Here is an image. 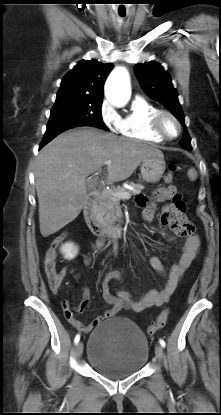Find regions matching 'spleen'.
<instances>
[{
  "label": "spleen",
  "instance_id": "spleen-1",
  "mask_svg": "<svg viewBox=\"0 0 221 415\" xmlns=\"http://www.w3.org/2000/svg\"><path fill=\"white\" fill-rule=\"evenodd\" d=\"M188 176H189L190 180H192V181L196 180L197 179V172H196V170L193 169V168H191L188 171Z\"/></svg>",
  "mask_w": 221,
  "mask_h": 415
}]
</instances>
